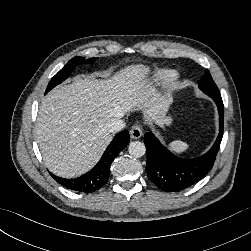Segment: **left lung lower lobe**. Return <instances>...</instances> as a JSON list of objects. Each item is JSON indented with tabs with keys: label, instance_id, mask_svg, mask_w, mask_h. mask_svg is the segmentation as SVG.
<instances>
[{
	"label": "left lung lower lobe",
	"instance_id": "1",
	"mask_svg": "<svg viewBox=\"0 0 251 251\" xmlns=\"http://www.w3.org/2000/svg\"><path fill=\"white\" fill-rule=\"evenodd\" d=\"M219 112V135L204 155L194 159L177 157L164 147L152 132L144 137L146 145V171L149 179L166 192L184 190L201 180L213 167L223 137L224 106L220 96H210Z\"/></svg>",
	"mask_w": 251,
	"mask_h": 251
}]
</instances>
